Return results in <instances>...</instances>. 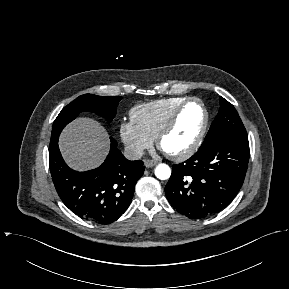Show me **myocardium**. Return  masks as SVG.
I'll return each instance as SVG.
<instances>
[{
  "mask_svg": "<svg viewBox=\"0 0 289 289\" xmlns=\"http://www.w3.org/2000/svg\"><path fill=\"white\" fill-rule=\"evenodd\" d=\"M192 102H197L203 110L204 120L202 123V127H201L200 132H199L198 136L196 137V139L185 150H183L181 152H176V153H167L164 151L165 154L173 160L181 161V160H185V159L191 157L200 148V146L203 143L204 138L206 136L207 130H208L210 115H209V111H208L206 105L204 104V102L200 98L188 97L174 110V112L171 114V116L169 117V119L167 120L165 125L159 131V133L156 137V143H157L158 148L163 151L162 142H163L164 138L174 129L183 109L189 103H192Z\"/></svg>",
  "mask_w": 289,
  "mask_h": 289,
  "instance_id": "myocardium-1",
  "label": "myocardium"
}]
</instances>
